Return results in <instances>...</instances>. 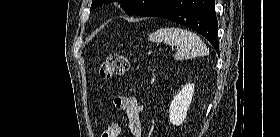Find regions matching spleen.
I'll list each match as a JSON object with an SVG mask.
<instances>
[{"label": "spleen", "mask_w": 280, "mask_h": 137, "mask_svg": "<svg viewBox=\"0 0 280 137\" xmlns=\"http://www.w3.org/2000/svg\"><path fill=\"white\" fill-rule=\"evenodd\" d=\"M152 42H165L175 46L177 52L175 58L179 60L191 59L208 55L209 50L205 43L195 33L177 27H165L156 30L149 35Z\"/></svg>", "instance_id": "1"}]
</instances>
